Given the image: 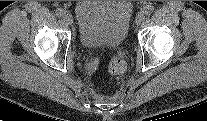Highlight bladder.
I'll use <instances>...</instances> for the list:
<instances>
[{
    "instance_id": "obj_1",
    "label": "bladder",
    "mask_w": 207,
    "mask_h": 121,
    "mask_svg": "<svg viewBox=\"0 0 207 121\" xmlns=\"http://www.w3.org/2000/svg\"><path fill=\"white\" fill-rule=\"evenodd\" d=\"M75 14L83 47L115 48L126 39L133 4L130 1H79Z\"/></svg>"
}]
</instances>
